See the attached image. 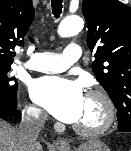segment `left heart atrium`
I'll return each mask as SVG.
<instances>
[{
	"mask_svg": "<svg viewBox=\"0 0 131 151\" xmlns=\"http://www.w3.org/2000/svg\"><path fill=\"white\" fill-rule=\"evenodd\" d=\"M30 96L51 115L66 123H75L81 116L85 96L80 83L69 79L44 76L33 80Z\"/></svg>",
	"mask_w": 131,
	"mask_h": 151,
	"instance_id": "1",
	"label": "left heart atrium"
}]
</instances>
